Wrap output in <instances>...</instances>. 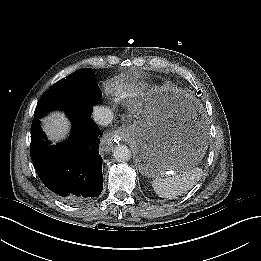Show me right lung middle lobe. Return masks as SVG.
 I'll return each instance as SVG.
<instances>
[{
	"mask_svg": "<svg viewBox=\"0 0 261 261\" xmlns=\"http://www.w3.org/2000/svg\"><path fill=\"white\" fill-rule=\"evenodd\" d=\"M101 96L91 68L80 69L59 80L41 97L34 117L39 118L52 109L68 112L77 106H94Z\"/></svg>",
	"mask_w": 261,
	"mask_h": 261,
	"instance_id": "right-lung-middle-lobe-1",
	"label": "right lung middle lobe"
}]
</instances>
